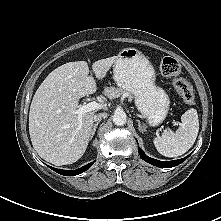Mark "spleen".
Wrapping results in <instances>:
<instances>
[{"label": "spleen", "instance_id": "3e777b00", "mask_svg": "<svg viewBox=\"0 0 221 221\" xmlns=\"http://www.w3.org/2000/svg\"><path fill=\"white\" fill-rule=\"evenodd\" d=\"M181 124L174 132L165 131L162 136L154 138L158 152L165 157H177L186 153L194 144L198 131L199 119L197 110L188 109L181 116Z\"/></svg>", "mask_w": 221, "mask_h": 221}]
</instances>
